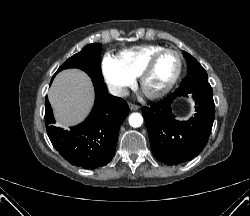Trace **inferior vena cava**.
I'll list each match as a JSON object with an SVG mask.
<instances>
[{
  "label": "inferior vena cava",
  "mask_w": 250,
  "mask_h": 216,
  "mask_svg": "<svg viewBox=\"0 0 250 216\" xmlns=\"http://www.w3.org/2000/svg\"><path fill=\"white\" fill-rule=\"evenodd\" d=\"M108 91L110 94L118 97H126L129 95L128 89L119 85H109Z\"/></svg>",
  "instance_id": "inferior-vena-cava-1"
}]
</instances>
